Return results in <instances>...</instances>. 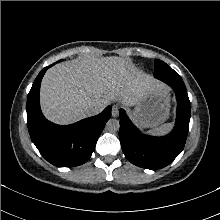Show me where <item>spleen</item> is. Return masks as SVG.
Listing matches in <instances>:
<instances>
[{"label":"spleen","instance_id":"3e777b00","mask_svg":"<svg viewBox=\"0 0 220 220\" xmlns=\"http://www.w3.org/2000/svg\"><path fill=\"white\" fill-rule=\"evenodd\" d=\"M172 128V123H167L163 124L157 128H154L150 131L151 134H156V135H164L168 133Z\"/></svg>","mask_w":220,"mask_h":220}]
</instances>
